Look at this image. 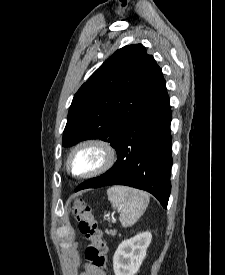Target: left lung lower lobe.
Wrapping results in <instances>:
<instances>
[{"mask_svg":"<svg viewBox=\"0 0 225 275\" xmlns=\"http://www.w3.org/2000/svg\"><path fill=\"white\" fill-rule=\"evenodd\" d=\"M171 119L169 96L164 86L121 138L115 149V165L105 174L80 184L75 191L126 185L150 192L167 208L173 163Z\"/></svg>","mask_w":225,"mask_h":275,"instance_id":"0a47b994","label":"left lung lower lobe"}]
</instances>
